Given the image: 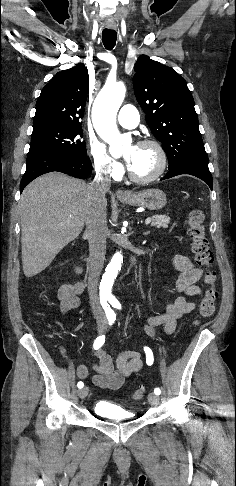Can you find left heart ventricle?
Masks as SVG:
<instances>
[{
    "mask_svg": "<svg viewBox=\"0 0 236 486\" xmlns=\"http://www.w3.org/2000/svg\"><path fill=\"white\" fill-rule=\"evenodd\" d=\"M135 151L133 161L129 169L137 176L145 177L151 175L158 168L159 156L152 146L129 147L125 151L126 158Z\"/></svg>",
    "mask_w": 236,
    "mask_h": 486,
    "instance_id": "obj_1",
    "label": "left heart ventricle"
}]
</instances>
